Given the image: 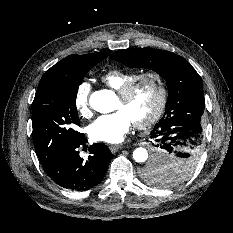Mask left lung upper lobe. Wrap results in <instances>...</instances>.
I'll return each mask as SVG.
<instances>
[{
    "label": "left lung upper lobe",
    "mask_w": 233,
    "mask_h": 233,
    "mask_svg": "<svg viewBox=\"0 0 233 233\" xmlns=\"http://www.w3.org/2000/svg\"><path fill=\"white\" fill-rule=\"evenodd\" d=\"M111 58L131 68L153 70L165 78L168 101L165 113L157 124L186 116H194L201 121L204 113L202 80L183 57L160 49L134 48L116 51ZM199 158L200 155L191 154L171 158L165 164L150 162L143 169L142 177L158 186L177 185L193 174Z\"/></svg>",
    "instance_id": "obj_1"
}]
</instances>
